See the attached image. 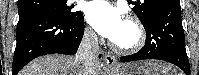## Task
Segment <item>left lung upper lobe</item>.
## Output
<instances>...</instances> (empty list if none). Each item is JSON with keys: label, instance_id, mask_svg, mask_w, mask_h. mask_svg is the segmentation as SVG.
I'll list each match as a JSON object with an SVG mask.
<instances>
[{"label": "left lung upper lobe", "instance_id": "5c2ea615", "mask_svg": "<svg viewBox=\"0 0 199 75\" xmlns=\"http://www.w3.org/2000/svg\"><path fill=\"white\" fill-rule=\"evenodd\" d=\"M133 5L132 10L136 13L142 24L147 23L151 15L160 7L170 4H180L179 0H128Z\"/></svg>", "mask_w": 199, "mask_h": 75}]
</instances>
